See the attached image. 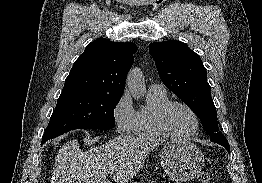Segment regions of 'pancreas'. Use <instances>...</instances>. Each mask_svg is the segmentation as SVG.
<instances>
[{
  "mask_svg": "<svg viewBox=\"0 0 262 183\" xmlns=\"http://www.w3.org/2000/svg\"><path fill=\"white\" fill-rule=\"evenodd\" d=\"M135 183H138V182H135ZM149 183H156V182L150 180Z\"/></svg>",
  "mask_w": 262,
  "mask_h": 183,
  "instance_id": "pancreas-1",
  "label": "pancreas"
}]
</instances>
